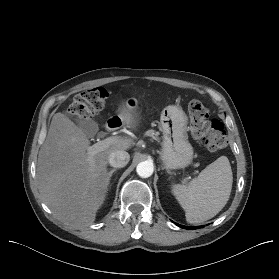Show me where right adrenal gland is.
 Here are the masks:
<instances>
[{
	"instance_id": "right-adrenal-gland-1",
	"label": "right adrenal gland",
	"mask_w": 279,
	"mask_h": 279,
	"mask_svg": "<svg viewBox=\"0 0 279 279\" xmlns=\"http://www.w3.org/2000/svg\"><path fill=\"white\" fill-rule=\"evenodd\" d=\"M116 170H117V168H114V169L110 170L109 176H108V184L110 183V179H111L113 173H114Z\"/></svg>"
}]
</instances>
